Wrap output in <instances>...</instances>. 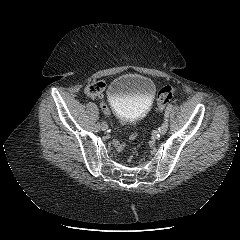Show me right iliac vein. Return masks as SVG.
<instances>
[{
	"label": "right iliac vein",
	"mask_w": 240,
	"mask_h": 240,
	"mask_svg": "<svg viewBox=\"0 0 240 240\" xmlns=\"http://www.w3.org/2000/svg\"><path fill=\"white\" fill-rule=\"evenodd\" d=\"M101 129H102L103 131H106V130L108 129V125H107L106 123H102V124H101Z\"/></svg>",
	"instance_id": "obj_1"
}]
</instances>
